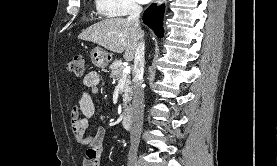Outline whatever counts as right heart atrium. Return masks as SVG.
Listing matches in <instances>:
<instances>
[{
  "instance_id": "right-heart-atrium-1",
  "label": "right heart atrium",
  "mask_w": 277,
  "mask_h": 166,
  "mask_svg": "<svg viewBox=\"0 0 277 166\" xmlns=\"http://www.w3.org/2000/svg\"><path fill=\"white\" fill-rule=\"evenodd\" d=\"M100 8L110 16H124L139 11L137 0H99Z\"/></svg>"
}]
</instances>
